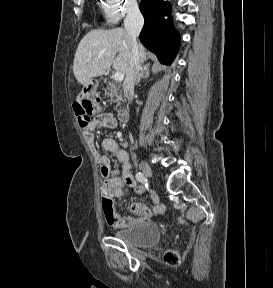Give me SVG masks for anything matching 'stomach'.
Returning <instances> with one entry per match:
<instances>
[{"label":"stomach","mask_w":273,"mask_h":288,"mask_svg":"<svg viewBox=\"0 0 273 288\" xmlns=\"http://www.w3.org/2000/svg\"><path fill=\"white\" fill-rule=\"evenodd\" d=\"M98 82L95 80H91L87 87H91V90L95 91L97 89Z\"/></svg>","instance_id":"stomach-1"}]
</instances>
